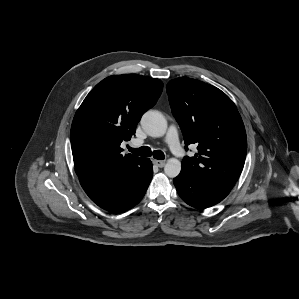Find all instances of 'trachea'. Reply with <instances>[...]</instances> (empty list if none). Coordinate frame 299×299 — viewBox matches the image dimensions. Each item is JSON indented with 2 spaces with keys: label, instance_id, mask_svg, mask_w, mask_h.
Segmentation results:
<instances>
[{
  "label": "trachea",
  "instance_id": "trachea-1",
  "mask_svg": "<svg viewBox=\"0 0 299 299\" xmlns=\"http://www.w3.org/2000/svg\"><path fill=\"white\" fill-rule=\"evenodd\" d=\"M128 150L138 156L149 157V156L153 155V157L155 159H158V160L165 159V155L161 150H154L152 152L150 147H147V146H142L140 148H131L128 146Z\"/></svg>",
  "mask_w": 299,
  "mask_h": 299
}]
</instances>
